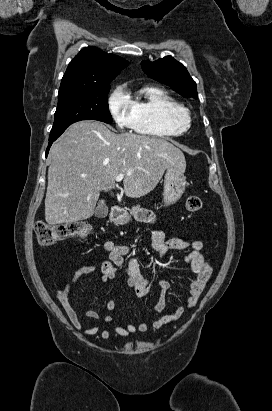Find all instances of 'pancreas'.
Wrapping results in <instances>:
<instances>
[{
	"label": "pancreas",
	"mask_w": 272,
	"mask_h": 411,
	"mask_svg": "<svg viewBox=\"0 0 272 411\" xmlns=\"http://www.w3.org/2000/svg\"><path fill=\"white\" fill-rule=\"evenodd\" d=\"M139 211H141L139 205L133 206V207L130 209V214H131V215H135V214H137Z\"/></svg>",
	"instance_id": "pancreas-1"
}]
</instances>
